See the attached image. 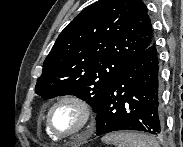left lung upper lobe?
<instances>
[{
  "label": "left lung upper lobe",
  "mask_w": 183,
  "mask_h": 147,
  "mask_svg": "<svg viewBox=\"0 0 183 147\" xmlns=\"http://www.w3.org/2000/svg\"><path fill=\"white\" fill-rule=\"evenodd\" d=\"M152 42L142 0H99L61 32L35 92L43 99L75 95L96 112L117 75Z\"/></svg>",
  "instance_id": "1"
}]
</instances>
